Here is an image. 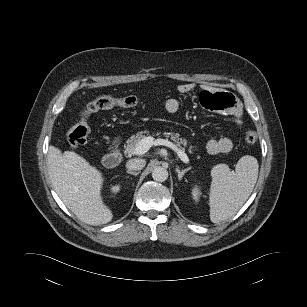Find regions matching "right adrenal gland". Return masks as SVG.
Wrapping results in <instances>:
<instances>
[{
    "label": "right adrenal gland",
    "mask_w": 307,
    "mask_h": 307,
    "mask_svg": "<svg viewBox=\"0 0 307 307\" xmlns=\"http://www.w3.org/2000/svg\"><path fill=\"white\" fill-rule=\"evenodd\" d=\"M126 172L128 174L135 175V176H137L140 173V172H134V171H130V170H127Z\"/></svg>",
    "instance_id": "2a0ac1e0"
}]
</instances>
